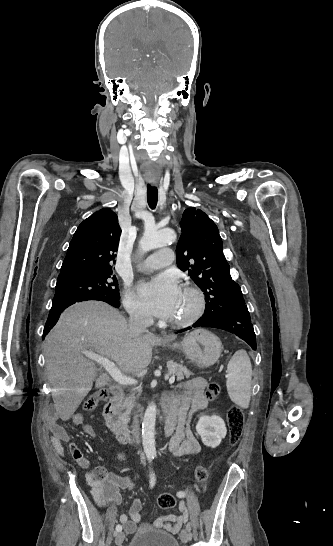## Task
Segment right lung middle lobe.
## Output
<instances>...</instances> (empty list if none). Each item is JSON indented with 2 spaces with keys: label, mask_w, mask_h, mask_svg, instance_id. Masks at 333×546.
Listing matches in <instances>:
<instances>
[{
  "label": "right lung middle lobe",
  "mask_w": 333,
  "mask_h": 546,
  "mask_svg": "<svg viewBox=\"0 0 333 546\" xmlns=\"http://www.w3.org/2000/svg\"><path fill=\"white\" fill-rule=\"evenodd\" d=\"M100 296L120 299L117 279L112 271L75 272L59 276L53 303Z\"/></svg>",
  "instance_id": "obj_1"
}]
</instances>
